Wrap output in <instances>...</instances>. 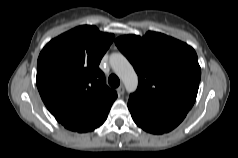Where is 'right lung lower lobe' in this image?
<instances>
[{"mask_svg": "<svg viewBox=\"0 0 238 158\" xmlns=\"http://www.w3.org/2000/svg\"><path fill=\"white\" fill-rule=\"evenodd\" d=\"M110 108L111 107L103 110L92 109L74 113L56 114L54 117L59 123L69 130L87 132L94 130L104 123Z\"/></svg>", "mask_w": 238, "mask_h": 158, "instance_id": "1", "label": "right lung lower lobe"}]
</instances>
